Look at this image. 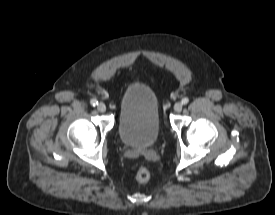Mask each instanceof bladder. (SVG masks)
<instances>
[{
  "mask_svg": "<svg viewBox=\"0 0 275 215\" xmlns=\"http://www.w3.org/2000/svg\"><path fill=\"white\" fill-rule=\"evenodd\" d=\"M160 131L158 99L145 84L129 85L122 96L118 114V133L121 141L136 148L151 147Z\"/></svg>",
  "mask_w": 275,
  "mask_h": 215,
  "instance_id": "31cf9c89",
  "label": "bladder"
}]
</instances>
